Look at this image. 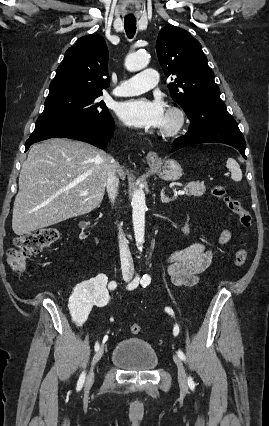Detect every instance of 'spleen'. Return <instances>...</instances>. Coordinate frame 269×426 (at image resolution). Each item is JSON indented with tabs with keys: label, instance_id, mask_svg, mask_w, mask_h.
<instances>
[{
	"label": "spleen",
	"instance_id": "1",
	"mask_svg": "<svg viewBox=\"0 0 269 426\" xmlns=\"http://www.w3.org/2000/svg\"><path fill=\"white\" fill-rule=\"evenodd\" d=\"M226 167L231 172V179L235 182H239L242 179V171L239 164L233 158H228L226 162Z\"/></svg>",
	"mask_w": 269,
	"mask_h": 426
}]
</instances>
